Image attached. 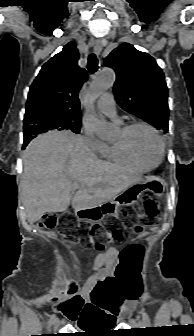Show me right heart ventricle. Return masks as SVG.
I'll return each instance as SVG.
<instances>
[{
  "label": "right heart ventricle",
  "instance_id": "right-heart-ventricle-1",
  "mask_svg": "<svg viewBox=\"0 0 194 336\" xmlns=\"http://www.w3.org/2000/svg\"><path fill=\"white\" fill-rule=\"evenodd\" d=\"M98 153L106 161L128 167L135 171L142 172L149 170L131 158L118 141L103 143Z\"/></svg>",
  "mask_w": 194,
  "mask_h": 336
}]
</instances>
